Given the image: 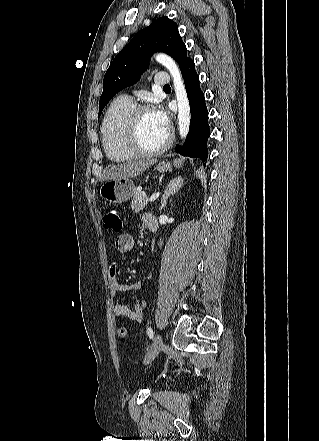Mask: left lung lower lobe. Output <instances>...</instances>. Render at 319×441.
<instances>
[{"label":"left lung lower lobe","mask_w":319,"mask_h":441,"mask_svg":"<svg viewBox=\"0 0 319 441\" xmlns=\"http://www.w3.org/2000/svg\"><path fill=\"white\" fill-rule=\"evenodd\" d=\"M190 104L191 120L189 133L183 146H176V152L191 158L206 160L208 155L207 139L210 136L208 111L204 94L199 86V77L194 68V61L188 60L180 69Z\"/></svg>","instance_id":"obj_1"}]
</instances>
